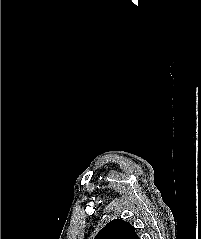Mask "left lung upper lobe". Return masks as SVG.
<instances>
[{
    "label": "left lung upper lobe",
    "instance_id": "obj_1",
    "mask_svg": "<svg viewBox=\"0 0 201 239\" xmlns=\"http://www.w3.org/2000/svg\"><path fill=\"white\" fill-rule=\"evenodd\" d=\"M94 239H139L133 226L122 219H114L102 228Z\"/></svg>",
    "mask_w": 201,
    "mask_h": 239
}]
</instances>
